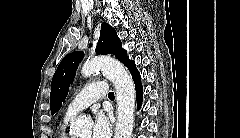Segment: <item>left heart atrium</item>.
I'll return each mask as SVG.
<instances>
[{
	"label": "left heart atrium",
	"mask_w": 240,
	"mask_h": 138,
	"mask_svg": "<svg viewBox=\"0 0 240 138\" xmlns=\"http://www.w3.org/2000/svg\"><path fill=\"white\" fill-rule=\"evenodd\" d=\"M111 132L112 127L109 118L102 111H97L92 130L93 138H109Z\"/></svg>",
	"instance_id": "39dd6f15"
}]
</instances>
